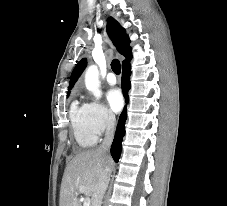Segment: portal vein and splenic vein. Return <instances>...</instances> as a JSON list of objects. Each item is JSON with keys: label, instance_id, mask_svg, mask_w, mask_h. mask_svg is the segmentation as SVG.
Here are the masks:
<instances>
[{"label": "portal vein and splenic vein", "instance_id": "1", "mask_svg": "<svg viewBox=\"0 0 227 206\" xmlns=\"http://www.w3.org/2000/svg\"><path fill=\"white\" fill-rule=\"evenodd\" d=\"M84 190H85L84 187H82V186L79 187V191L83 192ZM83 206H90V199L89 198L84 200Z\"/></svg>", "mask_w": 227, "mask_h": 206}]
</instances>
